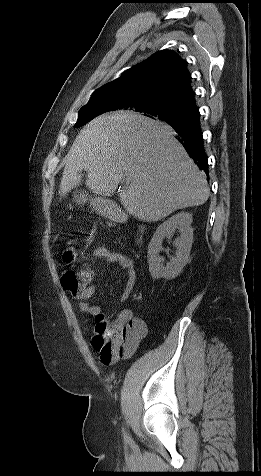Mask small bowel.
Returning <instances> with one entry per match:
<instances>
[{
  "mask_svg": "<svg viewBox=\"0 0 261 476\" xmlns=\"http://www.w3.org/2000/svg\"><path fill=\"white\" fill-rule=\"evenodd\" d=\"M93 257L103 259L109 263H116L126 271L127 282L121 296V301L126 303L130 299L137 281L133 261L123 253L111 251L105 247H97L93 252ZM90 272L93 278V272ZM90 282L73 295L78 300L82 312L98 318L101 316V308L90 303V299L96 291V286L91 285ZM111 327L120 329L122 335L109 353H100L101 361L107 365L115 364L121 359L130 357L147 332L146 323L142 319L134 317L128 309H122L118 312Z\"/></svg>",
  "mask_w": 261,
  "mask_h": 476,
  "instance_id": "obj_1",
  "label": "small bowel"
}]
</instances>
